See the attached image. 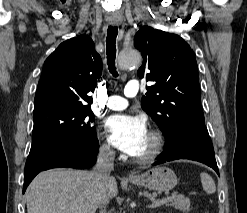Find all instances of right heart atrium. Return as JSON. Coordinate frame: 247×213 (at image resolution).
<instances>
[{
    "label": "right heart atrium",
    "mask_w": 247,
    "mask_h": 213,
    "mask_svg": "<svg viewBox=\"0 0 247 213\" xmlns=\"http://www.w3.org/2000/svg\"><path fill=\"white\" fill-rule=\"evenodd\" d=\"M99 151H100V154L106 158L113 157L115 153L110 141L106 138H103L100 144Z\"/></svg>",
    "instance_id": "1"
}]
</instances>
